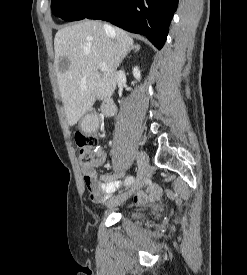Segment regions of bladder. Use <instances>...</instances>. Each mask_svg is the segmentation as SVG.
<instances>
[{
  "label": "bladder",
  "mask_w": 247,
  "mask_h": 275,
  "mask_svg": "<svg viewBox=\"0 0 247 275\" xmlns=\"http://www.w3.org/2000/svg\"><path fill=\"white\" fill-rule=\"evenodd\" d=\"M144 218V214L141 213V212H135L131 217L130 219L132 221H139V220H142Z\"/></svg>",
  "instance_id": "obj_1"
}]
</instances>
